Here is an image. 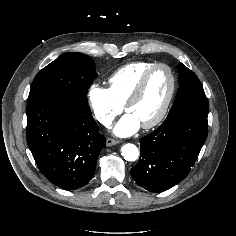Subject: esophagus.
<instances>
[{"label":"esophagus","mask_w":236,"mask_h":236,"mask_svg":"<svg viewBox=\"0 0 236 236\" xmlns=\"http://www.w3.org/2000/svg\"><path fill=\"white\" fill-rule=\"evenodd\" d=\"M118 143H119V141L117 139L107 138V140H106V145L107 146L116 145Z\"/></svg>","instance_id":"esophagus-1"}]
</instances>
